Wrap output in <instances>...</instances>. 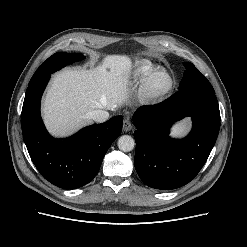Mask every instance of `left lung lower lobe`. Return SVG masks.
<instances>
[{"label":"left lung lower lobe","instance_id":"0a47b994","mask_svg":"<svg viewBox=\"0 0 247 247\" xmlns=\"http://www.w3.org/2000/svg\"><path fill=\"white\" fill-rule=\"evenodd\" d=\"M191 117V132L172 139V124ZM137 130L135 169L149 187L172 190L193 180L204 166L220 129V112L213 88L187 86L153 106L140 107L133 116Z\"/></svg>","mask_w":247,"mask_h":247}]
</instances>
